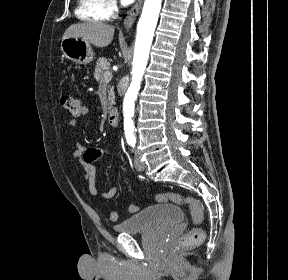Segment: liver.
I'll return each mask as SVG.
<instances>
[{
	"label": "liver",
	"mask_w": 288,
	"mask_h": 280,
	"mask_svg": "<svg viewBox=\"0 0 288 280\" xmlns=\"http://www.w3.org/2000/svg\"><path fill=\"white\" fill-rule=\"evenodd\" d=\"M114 27L100 22L71 25L64 33L65 38H81L96 47H106L113 39Z\"/></svg>",
	"instance_id": "1"
}]
</instances>
